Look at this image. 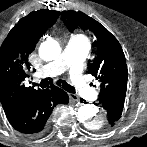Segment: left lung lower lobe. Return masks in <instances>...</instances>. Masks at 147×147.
<instances>
[{
    "label": "left lung lower lobe",
    "mask_w": 147,
    "mask_h": 147,
    "mask_svg": "<svg viewBox=\"0 0 147 147\" xmlns=\"http://www.w3.org/2000/svg\"><path fill=\"white\" fill-rule=\"evenodd\" d=\"M125 96H112L109 98L99 99L96 105L103 107L108 114L107 127L114 126V124L121 117L124 107ZM95 104V103H94Z\"/></svg>",
    "instance_id": "left-lung-lower-lobe-1"
}]
</instances>
